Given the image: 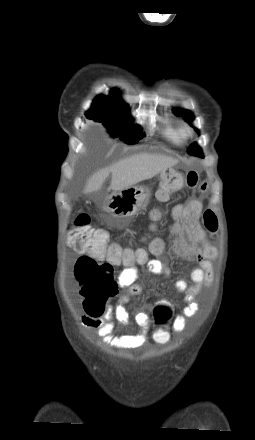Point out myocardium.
Returning a JSON list of instances; mask_svg holds the SVG:
<instances>
[{"label": "myocardium", "mask_w": 255, "mask_h": 440, "mask_svg": "<svg viewBox=\"0 0 255 440\" xmlns=\"http://www.w3.org/2000/svg\"><path fill=\"white\" fill-rule=\"evenodd\" d=\"M191 134V130L190 129H185V135H190Z\"/></svg>", "instance_id": "1"}]
</instances>
